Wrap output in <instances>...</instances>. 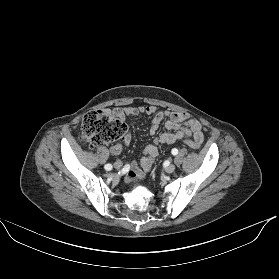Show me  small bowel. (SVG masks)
<instances>
[{
  "label": "small bowel",
  "instance_id": "small-bowel-1",
  "mask_svg": "<svg viewBox=\"0 0 279 279\" xmlns=\"http://www.w3.org/2000/svg\"><path fill=\"white\" fill-rule=\"evenodd\" d=\"M118 116L125 118L146 114L152 116L150 134H155L161 122L167 119L165 128L167 132L163 133L156 141L159 145L172 144L177 141L192 140L201 144L204 140L201 123L189 117L183 112L173 111H158L155 106H127L116 110ZM130 143V134L126 133L119 142L111 146L110 152L113 155H118L123 148ZM158 156V149L156 145H148L143 151V156L139 162H133L127 172V182H135L142 179L150 170L153 161Z\"/></svg>",
  "mask_w": 279,
  "mask_h": 279
}]
</instances>
